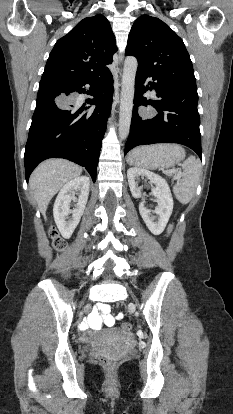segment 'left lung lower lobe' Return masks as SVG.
Here are the masks:
<instances>
[{"label":"left lung lower lobe","instance_id":"0a47b994","mask_svg":"<svg viewBox=\"0 0 233 414\" xmlns=\"http://www.w3.org/2000/svg\"><path fill=\"white\" fill-rule=\"evenodd\" d=\"M148 77L152 76L137 70L130 134L124 155L139 145L178 143L191 148L201 158L196 85L164 83L152 77L155 82H150L149 87L144 85ZM152 88L160 99L151 102L143 94ZM147 105H152L157 114L152 118H141L138 107Z\"/></svg>","mask_w":233,"mask_h":414}]
</instances>
